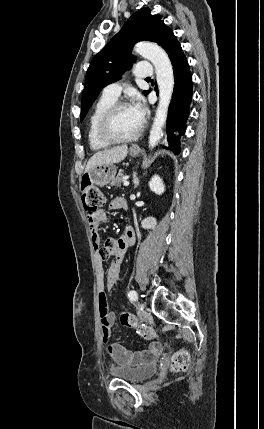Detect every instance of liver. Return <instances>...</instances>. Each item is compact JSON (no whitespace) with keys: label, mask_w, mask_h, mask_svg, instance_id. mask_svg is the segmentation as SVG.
<instances>
[{"label":"liver","mask_w":264,"mask_h":429,"mask_svg":"<svg viewBox=\"0 0 264 429\" xmlns=\"http://www.w3.org/2000/svg\"><path fill=\"white\" fill-rule=\"evenodd\" d=\"M127 153V145L117 146L111 149L99 151L89 159L85 167V173L89 172L92 168L98 165L119 163L126 158Z\"/></svg>","instance_id":"obj_1"}]
</instances>
